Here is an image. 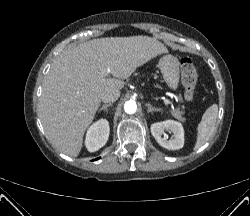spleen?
Masks as SVG:
<instances>
[{
  "label": "spleen",
  "instance_id": "spleen-1",
  "mask_svg": "<svg viewBox=\"0 0 250 216\" xmlns=\"http://www.w3.org/2000/svg\"><path fill=\"white\" fill-rule=\"evenodd\" d=\"M218 116V105L212 104L207 108L197 127V141L194 150L203 146L215 131L216 120Z\"/></svg>",
  "mask_w": 250,
  "mask_h": 216
}]
</instances>
